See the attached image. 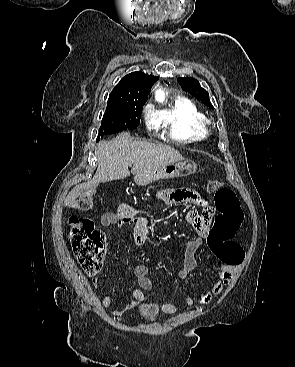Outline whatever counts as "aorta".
<instances>
[{"mask_svg":"<svg viewBox=\"0 0 295 367\" xmlns=\"http://www.w3.org/2000/svg\"><path fill=\"white\" fill-rule=\"evenodd\" d=\"M156 97H157V99H158V100H163V98H164V93H163L162 91H158V92H157V96H156Z\"/></svg>","mask_w":295,"mask_h":367,"instance_id":"obj_1","label":"aorta"}]
</instances>
